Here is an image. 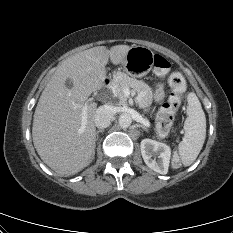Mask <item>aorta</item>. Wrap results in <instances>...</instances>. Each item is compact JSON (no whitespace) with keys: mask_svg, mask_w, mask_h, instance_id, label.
Returning a JSON list of instances; mask_svg holds the SVG:
<instances>
[{"mask_svg":"<svg viewBox=\"0 0 233 233\" xmlns=\"http://www.w3.org/2000/svg\"><path fill=\"white\" fill-rule=\"evenodd\" d=\"M118 123L121 128H128L132 123L131 115L128 113L121 114L119 116Z\"/></svg>","mask_w":233,"mask_h":233,"instance_id":"1","label":"aorta"}]
</instances>
